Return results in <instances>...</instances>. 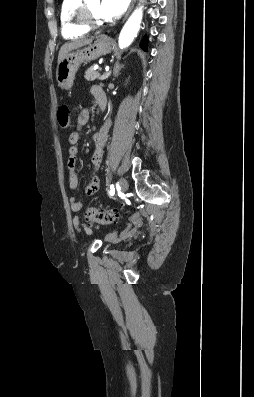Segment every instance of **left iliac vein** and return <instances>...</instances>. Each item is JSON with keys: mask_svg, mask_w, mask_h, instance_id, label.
<instances>
[{"mask_svg": "<svg viewBox=\"0 0 254 397\" xmlns=\"http://www.w3.org/2000/svg\"><path fill=\"white\" fill-rule=\"evenodd\" d=\"M128 189V182L125 178H121L120 179V190L122 192H126V190Z\"/></svg>", "mask_w": 254, "mask_h": 397, "instance_id": "obj_1", "label": "left iliac vein"}]
</instances>
